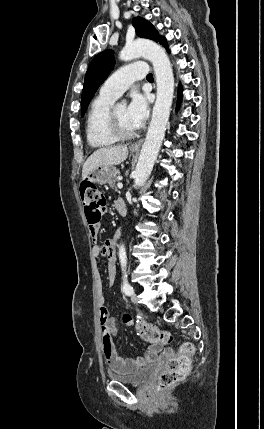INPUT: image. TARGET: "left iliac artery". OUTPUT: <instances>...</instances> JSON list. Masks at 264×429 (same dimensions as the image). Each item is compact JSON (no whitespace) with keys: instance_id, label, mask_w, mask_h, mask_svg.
I'll list each match as a JSON object with an SVG mask.
<instances>
[{"instance_id":"left-iliac-artery-1","label":"left iliac artery","mask_w":264,"mask_h":429,"mask_svg":"<svg viewBox=\"0 0 264 429\" xmlns=\"http://www.w3.org/2000/svg\"><path fill=\"white\" fill-rule=\"evenodd\" d=\"M123 273H124V275H123V292H124L126 295L130 296V295H132V294L134 293V289H133V287L128 283L126 270H124V272H123Z\"/></svg>"}]
</instances>
